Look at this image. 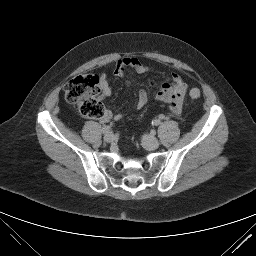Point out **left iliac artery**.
I'll return each mask as SVG.
<instances>
[{"mask_svg": "<svg viewBox=\"0 0 256 256\" xmlns=\"http://www.w3.org/2000/svg\"><path fill=\"white\" fill-rule=\"evenodd\" d=\"M160 123H161V122H160L159 119H156V120L153 121V124H155L156 126L159 125Z\"/></svg>", "mask_w": 256, "mask_h": 256, "instance_id": "obj_1", "label": "left iliac artery"}]
</instances>
